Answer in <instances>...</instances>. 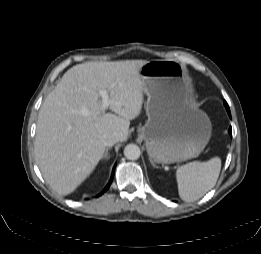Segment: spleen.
Returning <instances> with one entry per match:
<instances>
[{"mask_svg": "<svg viewBox=\"0 0 261 254\" xmlns=\"http://www.w3.org/2000/svg\"><path fill=\"white\" fill-rule=\"evenodd\" d=\"M221 159L213 157L207 162H190L176 171L178 193L185 202H193L211 190L219 177Z\"/></svg>", "mask_w": 261, "mask_h": 254, "instance_id": "3e777b00", "label": "spleen"}]
</instances>
